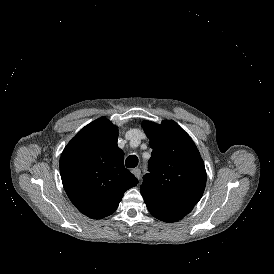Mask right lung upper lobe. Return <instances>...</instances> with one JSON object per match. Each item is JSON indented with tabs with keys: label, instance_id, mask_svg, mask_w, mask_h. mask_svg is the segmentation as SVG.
Listing matches in <instances>:
<instances>
[{
	"label": "right lung upper lobe",
	"instance_id": "cb5924a9",
	"mask_svg": "<svg viewBox=\"0 0 274 274\" xmlns=\"http://www.w3.org/2000/svg\"><path fill=\"white\" fill-rule=\"evenodd\" d=\"M117 138V127L105 117L99 118L68 143L60 158L68 197L80 212L93 219L111 215L125 191L138 183L124 167V153Z\"/></svg>",
	"mask_w": 274,
	"mask_h": 274
}]
</instances>
